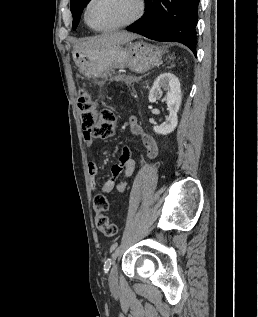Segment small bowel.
I'll list each match as a JSON object with an SVG mask.
<instances>
[{"label": "small bowel", "instance_id": "c3829d8e", "mask_svg": "<svg viewBox=\"0 0 258 317\" xmlns=\"http://www.w3.org/2000/svg\"><path fill=\"white\" fill-rule=\"evenodd\" d=\"M131 132L141 138L146 150V156L149 159H154L158 154V147L155 139L146 133L138 124L136 117L132 116L129 119ZM84 140L87 147L92 145V138L84 131ZM135 170V161L130 157L128 147H124L119 161L111 167V177L106 180L100 187L104 193H109L116 189L118 192H124L128 188V178ZM123 173L124 178L116 181L117 177ZM89 182L93 190L97 189L96 176L98 174V166L94 160L88 162Z\"/></svg>", "mask_w": 258, "mask_h": 317}]
</instances>
